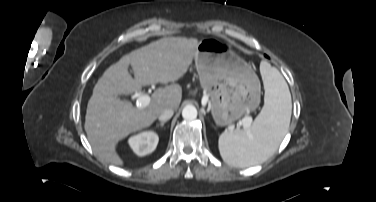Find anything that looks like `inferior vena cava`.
I'll return each mask as SVG.
<instances>
[{"label": "inferior vena cava", "mask_w": 376, "mask_h": 202, "mask_svg": "<svg viewBox=\"0 0 376 202\" xmlns=\"http://www.w3.org/2000/svg\"><path fill=\"white\" fill-rule=\"evenodd\" d=\"M174 114V111L172 109H166L164 110L158 117V119L161 122H166L168 121Z\"/></svg>", "instance_id": "602c4592"}]
</instances>
